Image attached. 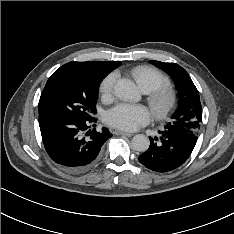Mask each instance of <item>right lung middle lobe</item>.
<instances>
[{"instance_id": "obj_1", "label": "right lung middle lobe", "mask_w": 234, "mask_h": 234, "mask_svg": "<svg viewBox=\"0 0 234 234\" xmlns=\"http://www.w3.org/2000/svg\"><path fill=\"white\" fill-rule=\"evenodd\" d=\"M103 77L63 65L48 79L39 100V121L63 116L88 119L96 113Z\"/></svg>"}]
</instances>
